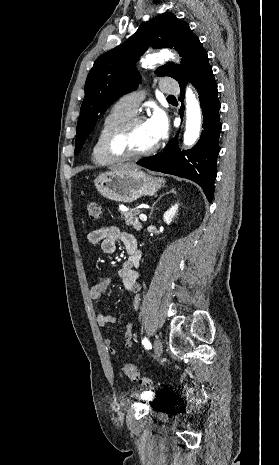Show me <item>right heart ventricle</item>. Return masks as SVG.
Returning a JSON list of instances; mask_svg holds the SVG:
<instances>
[{
  "mask_svg": "<svg viewBox=\"0 0 279 465\" xmlns=\"http://www.w3.org/2000/svg\"><path fill=\"white\" fill-rule=\"evenodd\" d=\"M133 114L119 106L117 103L104 116L92 149V160L95 164L105 166L116 160L108 157L104 151V141L107 134L117 125L132 117Z\"/></svg>",
  "mask_w": 279,
  "mask_h": 465,
  "instance_id": "1",
  "label": "right heart ventricle"
}]
</instances>
